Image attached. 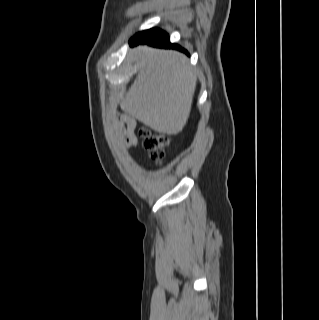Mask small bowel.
Here are the masks:
<instances>
[{
  "instance_id": "small-bowel-1",
  "label": "small bowel",
  "mask_w": 319,
  "mask_h": 320,
  "mask_svg": "<svg viewBox=\"0 0 319 320\" xmlns=\"http://www.w3.org/2000/svg\"><path fill=\"white\" fill-rule=\"evenodd\" d=\"M118 122L128 148L136 150L138 147V139L135 134L136 122L127 115H121Z\"/></svg>"
}]
</instances>
